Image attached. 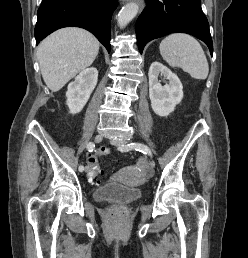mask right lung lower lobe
Returning a JSON list of instances; mask_svg holds the SVG:
<instances>
[{
  "label": "right lung lower lobe",
  "mask_w": 248,
  "mask_h": 258,
  "mask_svg": "<svg viewBox=\"0 0 248 258\" xmlns=\"http://www.w3.org/2000/svg\"><path fill=\"white\" fill-rule=\"evenodd\" d=\"M118 0H42L35 27L36 45L63 27H80L93 33L106 47L110 45V22Z\"/></svg>",
  "instance_id": "right-lung-lower-lobe-1"
}]
</instances>
